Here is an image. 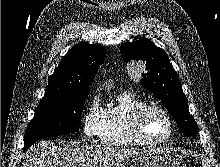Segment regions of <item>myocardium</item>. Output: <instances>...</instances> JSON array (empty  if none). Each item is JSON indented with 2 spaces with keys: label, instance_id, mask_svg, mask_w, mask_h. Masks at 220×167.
Here are the masks:
<instances>
[{
  "label": "myocardium",
  "instance_id": "obj_1",
  "mask_svg": "<svg viewBox=\"0 0 220 167\" xmlns=\"http://www.w3.org/2000/svg\"><path fill=\"white\" fill-rule=\"evenodd\" d=\"M150 111H157L166 118L169 124V128H170L169 134L166 137L162 139H158V140H153V139L148 138L146 134L144 133L143 122H144L145 117ZM131 125H132V129H133L135 136L143 144H146V145H152V146L162 145L168 142L175 133V124H174L173 118L171 117V115L165 108H163L162 106L158 104H146L140 107L139 109H137L133 115Z\"/></svg>",
  "mask_w": 220,
  "mask_h": 167
}]
</instances>
